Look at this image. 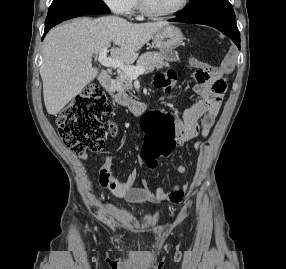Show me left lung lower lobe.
I'll use <instances>...</instances> for the list:
<instances>
[{"instance_id": "0a47b994", "label": "left lung lower lobe", "mask_w": 286, "mask_h": 269, "mask_svg": "<svg viewBox=\"0 0 286 269\" xmlns=\"http://www.w3.org/2000/svg\"><path fill=\"white\" fill-rule=\"evenodd\" d=\"M169 21L189 23V24L197 23V24L212 26L221 31L226 36H228L240 49V33L237 28L236 19L219 18V17L184 19L181 18L180 16H177L176 18L170 19Z\"/></svg>"}]
</instances>
